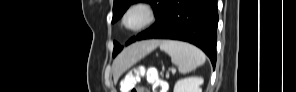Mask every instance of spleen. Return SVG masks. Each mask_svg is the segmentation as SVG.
I'll return each instance as SVG.
<instances>
[{
	"label": "spleen",
	"instance_id": "3e777b00",
	"mask_svg": "<svg viewBox=\"0 0 296 92\" xmlns=\"http://www.w3.org/2000/svg\"><path fill=\"white\" fill-rule=\"evenodd\" d=\"M160 49L171 57L172 63L177 65L180 73L194 70L204 64L206 59L200 49L181 41L164 40L160 42Z\"/></svg>",
	"mask_w": 296,
	"mask_h": 92
}]
</instances>
